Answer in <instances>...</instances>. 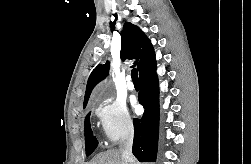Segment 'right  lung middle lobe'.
<instances>
[{
  "label": "right lung middle lobe",
  "mask_w": 251,
  "mask_h": 164,
  "mask_svg": "<svg viewBox=\"0 0 251 164\" xmlns=\"http://www.w3.org/2000/svg\"><path fill=\"white\" fill-rule=\"evenodd\" d=\"M89 115H90V113L87 115V117L85 119L86 155H90L95 150V148L97 146V141L94 139L93 133L91 130Z\"/></svg>",
  "instance_id": "right-lung-middle-lobe-1"
}]
</instances>
